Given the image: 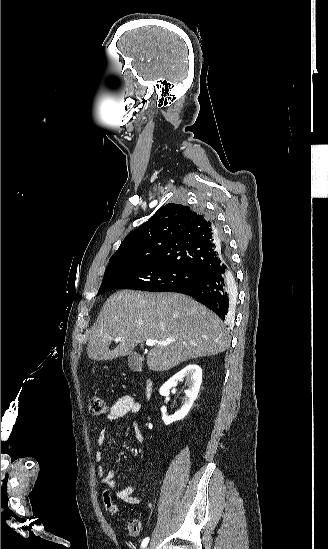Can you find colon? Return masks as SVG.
I'll return each mask as SVG.
<instances>
[{
	"label": "colon",
	"mask_w": 328,
	"mask_h": 549,
	"mask_svg": "<svg viewBox=\"0 0 328 549\" xmlns=\"http://www.w3.org/2000/svg\"><path fill=\"white\" fill-rule=\"evenodd\" d=\"M107 409L105 400L98 394H94L89 399V410L94 415L103 414ZM104 508L111 514L118 513V507L112 500L108 491H104L102 496ZM142 524L138 519H131L127 525V531L131 536H138L141 533Z\"/></svg>",
	"instance_id": "5ec220e1"
}]
</instances>
